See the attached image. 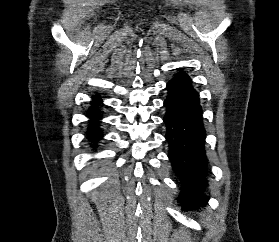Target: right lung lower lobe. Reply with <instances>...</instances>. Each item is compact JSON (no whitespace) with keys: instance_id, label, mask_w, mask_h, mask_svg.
<instances>
[{"instance_id":"right-lung-lower-lobe-1","label":"right lung lower lobe","mask_w":279,"mask_h":242,"mask_svg":"<svg viewBox=\"0 0 279 242\" xmlns=\"http://www.w3.org/2000/svg\"><path fill=\"white\" fill-rule=\"evenodd\" d=\"M102 100L94 96L93 101L91 102L92 106L89 107L87 116L90 118L87 129V135L89 138V141L91 142V147L96 148L97 142L101 140L103 137V132L100 129V121L99 119L102 118L101 110L99 109V106H101Z\"/></svg>"}]
</instances>
